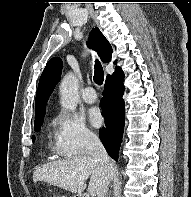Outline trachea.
<instances>
[{"label": "trachea", "instance_id": "1", "mask_svg": "<svg viewBox=\"0 0 191 197\" xmlns=\"http://www.w3.org/2000/svg\"><path fill=\"white\" fill-rule=\"evenodd\" d=\"M94 82L98 85H101L104 80V71L101 63L98 59L95 60V66H94V76H93Z\"/></svg>", "mask_w": 191, "mask_h": 197}]
</instances>
